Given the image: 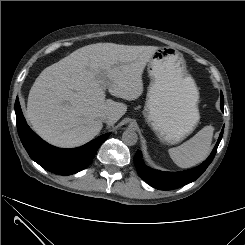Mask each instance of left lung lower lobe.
Listing matches in <instances>:
<instances>
[{
  "instance_id": "obj_1",
  "label": "left lung lower lobe",
  "mask_w": 245,
  "mask_h": 245,
  "mask_svg": "<svg viewBox=\"0 0 245 245\" xmlns=\"http://www.w3.org/2000/svg\"><path fill=\"white\" fill-rule=\"evenodd\" d=\"M224 106V98L223 94L221 93V102L220 107L223 111ZM224 127L220 133L218 141L210 154V156L199 166L189 169L182 172H161L154 169L147 167L144 162L142 161L141 153L136 152L134 156V163L136 169L140 175V177L148 183L150 186L159 189V190H170V189H177L184 185H187L193 181H195L209 166L212 162L216 152L217 147L222 139Z\"/></svg>"
}]
</instances>
